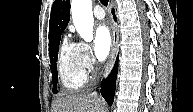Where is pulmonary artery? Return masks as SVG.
<instances>
[{
  "mask_svg": "<svg viewBox=\"0 0 193 112\" xmlns=\"http://www.w3.org/2000/svg\"><path fill=\"white\" fill-rule=\"evenodd\" d=\"M93 15L96 19L98 20H101L105 17V12L104 10L102 9V7L100 6H96L94 9H93Z\"/></svg>",
  "mask_w": 193,
  "mask_h": 112,
  "instance_id": "pulmonary-artery-1",
  "label": "pulmonary artery"
}]
</instances>
